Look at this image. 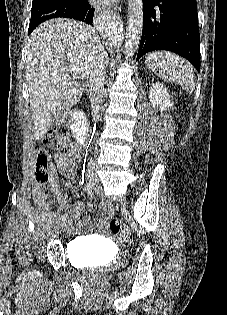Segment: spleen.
Wrapping results in <instances>:
<instances>
[{"label":"spleen","mask_w":227,"mask_h":315,"mask_svg":"<svg viewBox=\"0 0 227 315\" xmlns=\"http://www.w3.org/2000/svg\"><path fill=\"white\" fill-rule=\"evenodd\" d=\"M147 66L166 81H175L190 93L195 87L192 65L169 52H154L146 59Z\"/></svg>","instance_id":"1"}]
</instances>
